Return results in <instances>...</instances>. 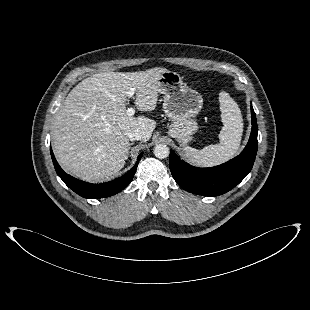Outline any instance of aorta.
<instances>
[{"label": "aorta", "instance_id": "obj_1", "mask_svg": "<svg viewBox=\"0 0 310 310\" xmlns=\"http://www.w3.org/2000/svg\"><path fill=\"white\" fill-rule=\"evenodd\" d=\"M169 147L165 144H158L154 148V155L159 159H165L169 156Z\"/></svg>", "mask_w": 310, "mask_h": 310}]
</instances>
